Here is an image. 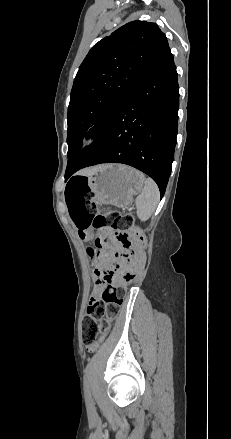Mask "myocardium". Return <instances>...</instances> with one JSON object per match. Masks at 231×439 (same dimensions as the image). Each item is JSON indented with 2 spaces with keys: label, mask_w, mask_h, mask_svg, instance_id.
<instances>
[{
  "label": "myocardium",
  "mask_w": 231,
  "mask_h": 439,
  "mask_svg": "<svg viewBox=\"0 0 231 439\" xmlns=\"http://www.w3.org/2000/svg\"><path fill=\"white\" fill-rule=\"evenodd\" d=\"M95 137H93V136H89V137H87L86 139H85V142L87 143V144H93L94 142H95Z\"/></svg>",
  "instance_id": "f54148a6"
}]
</instances>
